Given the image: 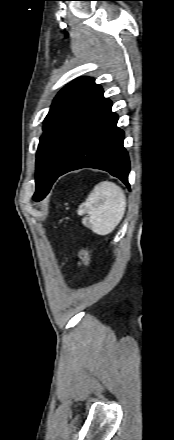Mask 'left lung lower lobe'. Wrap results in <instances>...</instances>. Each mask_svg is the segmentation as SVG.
<instances>
[{
  "label": "left lung lower lobe",
  "mask_w": 174,
  "mask_h": 440,
  "mask_svg": "<svg viewBox=\"0 0 174 440\" xmlns=\"http://www.w3.org/2000/svg\"><path fill=\"white\" fill-rule=\"evenodd\" d=\"M111 107L112 102L106 98L90 116L57 178L89 167L109 172L129 188L130 162L123 146L124 132L116 126L118 115Z\"/></svg>",
  "instance_id": "1"
}]
</instances>
